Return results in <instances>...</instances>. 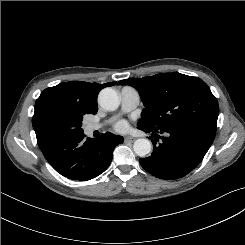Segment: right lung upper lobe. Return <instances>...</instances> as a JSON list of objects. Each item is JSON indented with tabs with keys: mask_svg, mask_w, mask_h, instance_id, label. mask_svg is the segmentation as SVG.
Instances as JSON below:
<instances>
[{
	"mask_svg": "<svg viewBox=\"0 0 245 245\" xmlns=\"http://www.w3.org/2000/svg\"><path fill=\"white\" fill-rule=\"evenodd\" d=\"M116 81L106 84L89 83L81 81L62 82L54 87L45 89L41 95L59 94L67 100L83 107L90 112H97L98 93L107 86L115 85ZM35 130V129H34ZM39 148L46 154L50 145L54 142L39 131L35 130Z\"/></svg>",
	"mask_w": 245,
	"mask_h": 245,
	"instance_id": "1",
	"label": "right lung upper lobe"
}]
</instances>
